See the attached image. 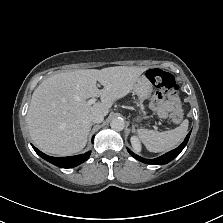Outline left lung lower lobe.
Segmentation results:
<instances>
[{
    "mask_svg": "<svg viewBox=\"0 0 223 223\" xmlns=\"http://www.w3.org/2000/svg\"><path fill=\"white\" fill-rule=\"evenodd\" d=\"M190 133L191 131L188 133V135L186 136L185 140L183 141V143L177 147L176 149L158 157L155 159H143L141 157H139L138 155L134 154L131 150L128 149V152L130 153L131 156H133L135 159L146 163V164H153V165H164L169 163L170 161H172L175 157H177L180 152L184 149V147L186 146L189 137H190Z\"/></svg>",
    "mask_w": 223,
    "mask_h": 223,
    "instance_id": "left-lung-lower-lobe-1",
    "label": "left lung lower lobe"
}]
</instances>
